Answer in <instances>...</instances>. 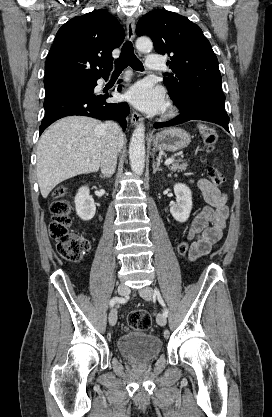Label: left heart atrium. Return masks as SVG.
I'll list each match as a JSON object with an SVG mask.
<instances>
[{
    "mask_svg": "<svg viewBox=\"0 0 272 417\" xmlns=\"http://www.w3.org/2000/svg\"><path fill=\"white\" fill-rule=\"evenodd\" d=\"M124 97L137 109L151 114L161 112L166 105L163 90L148 81L137 82L127 90Z\"/></svg>",
    "mask_w": 272,
    "mask_h": 417,
    "instance_id": "39dd6f15",
    "label": "left heart atrium"
}]
</instances>
